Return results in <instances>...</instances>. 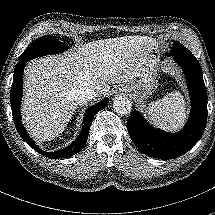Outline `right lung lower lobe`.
<instances>
[{"mask_svg": "<svg viewBox=\"0 0 215 215\" xmlns=\"http://www.w3.org/2000/svg\"><path fill=\"white\" fill-rule=\"evenodd\" d=\"M26 61L20 60L15 69H14V78H13V83L11 87V93H10V99H11V108H12V115H13V120L14 124L16 126V129L18 133L20 134L21 138L35 151L38 153L42 154L45 157H48L50 159H59V158H67L70 157L76 153H78L85 145L88 135H89V129L92 123V120L94 116L96 115L97 112L100 110L104 109L107 104L109 103L108 99H103L101 102L98 104L90 107L85 115H84V120H83V126L81 129V132L78 136V138L69 146L66 148H63L58 151L54 152H46L40 149L34 141L30 138V136L27 134L23 124H22V119H21V114H20V104H21V97L23 93V70L25 66Z\"/></svg>", "mask_w": 215, "mask_h": 215, "instance_id": "1", "label": "right lung lower lobe"}]
</instances>
